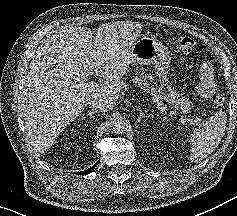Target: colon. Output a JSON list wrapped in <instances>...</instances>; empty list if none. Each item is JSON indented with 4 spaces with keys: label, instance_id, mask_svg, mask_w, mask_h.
Segmentation results:
<instances>
[{
    "label": "colon",
    "instance_id": "colon-1",
    "mask_svg": "<svg viewBox=\"0 0 237 216\" xmlns=\"http://www.w3.org/2000/svg\"><path fill=\"white\" fill-rule=\"evenodd\" d=\"M175 47L182 53H189L194 47V40L189 36H179L174 41ZM225 102V96L218 93L214 97V103L217 106L223 105Z\"/></svg>",
    "mask_w": 237,
    "mask_h": 216
}]
</instances>
